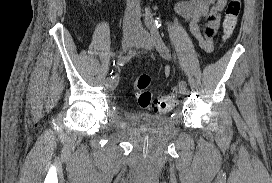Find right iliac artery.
Listing matches in <instances>:
<instances>
[{
  "mask_svg": "<svg viewBox=\"0 0 272 183\" xmlns=\"http://www.w3.org/2000/svg\"><path fill=\"white\" fill-rule=\"evenodd\" d=\"M134 54V51L133 50H130L128 52L127 55H124L122 57H120L116 63L114 62V65L119 68L120 66H123L124 64H126L133 56ZM111 73H110V77H108L107 79L110 80V81H117L118 80V71L117 70H113L112 68L109 70Z\"/></svg>",
  "mask_w": 272,
  "mask_h": 183,
  "instance_id": "82829eb1",
  "label": "right iliac artery"
}]
</instances>
